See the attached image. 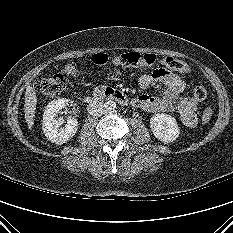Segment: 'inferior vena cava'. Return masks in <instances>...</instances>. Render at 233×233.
Wrapping results in <instances>:
<instances>
[{
    "instance_id": "602c4592",
    "label": "inferior vena cava",
    "mask_w": 233,
    "mask_h": 233,
    "mask_svg": "<svg viewBox=\"0 0 233 233\" xmlns=\"http://www.w3.org/2000/svg\"><path fill=\"white\" fill-rule=\"evenodd\" d=\"M105 112V104L99 101H93L88 104V113L93 117H99Z\"/></svg>"
}]
</instances>
